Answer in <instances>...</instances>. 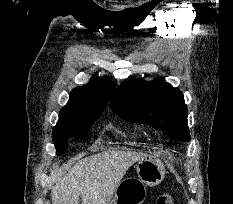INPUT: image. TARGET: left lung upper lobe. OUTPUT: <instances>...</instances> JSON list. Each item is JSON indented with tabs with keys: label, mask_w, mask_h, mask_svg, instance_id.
<instances>
[{
	"label": "left lung upper lobe",
	"mask_w": 233,
	"mask_h": 204,
	"mask_svg": "<svg viewBox=\"0 0 233 204\" xmlns=\"http://www.w3.org/2000/svg\"><path fill=\"white\" fill-rule=\"evenodd\" d=\"M110 108L126 121L151 125L176 140H190L183 94L163 77L122 83Z\"/></svg>",
	"instance_id": "5c2ea615"
}]
</instances>
